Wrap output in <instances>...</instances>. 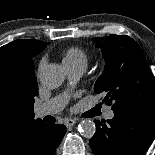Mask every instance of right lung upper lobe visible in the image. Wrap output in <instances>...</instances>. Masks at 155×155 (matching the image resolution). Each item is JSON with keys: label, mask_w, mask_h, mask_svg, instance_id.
<instances>
[{"label": "right lung upper lobe", "mask_w": 155, "mask_h": 155, "mask_svg": "<svg viewBox=\"0 0 155 155\" xmlns=\"http://www.w3.org/2000/svg\"><path fill=\"white\" fill-rule=\"evenodd\" d=\"M49 44L34 40L21 39L0 47V82L13 84L24 73L28 64L33 63L32 58L42 52ZM33 104L24 103L22 106L24 121L20 133L12 138L0 137V154L13 155L20 144L21 139L29 129L43 123L40 119H34Z\"/></svg>", "instance_id": "cb5924a9"}]
</instances>
